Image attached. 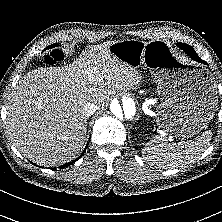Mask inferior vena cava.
Returning <instances> with one entry per match:
<instances>
[{"label":"inferior vena cava","instance_id":"602c4592","mask_svg":"<svg viewBox=\"0 0 222 222\" xmlns=\"http://www.w3.org/2000/svg\"><path fill=\"white\" fill-rule=\"evenodd\" d=\"M99 107L100 106L98 104L89 102L84 106L83 114L85 116H90V115L94 114L95 111L99 109Z\"/></svg>","mask_w":222,"mask_h":222}]
</instances>
